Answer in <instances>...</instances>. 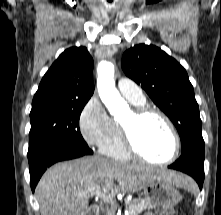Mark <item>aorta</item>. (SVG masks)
Segmentation results:
<instances>
[{
  "label": "aorta",
  "instance_id": "1",
  "mask_svg": "<svg viewBox=\"0 0 221 215\" xmlns=\"http://www.w3.org/2000/svg\"><path fill=\"white\" fill-rule=\"evenodd\" d=\"M114 65L111 62L102 61L97 67V88L102 102L112 115L128 108L126 101L121 97L115 87Z\"/></svg>",
  "mask_w": 221,
  "mask_h": 215
}]
</instances>
